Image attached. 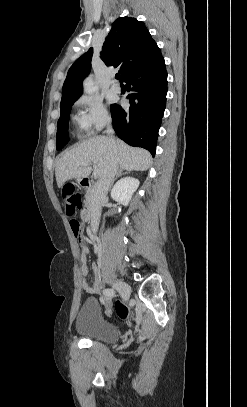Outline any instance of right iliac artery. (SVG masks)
I'll return each mask as SVG.
<instances>
[{"mask_svg":"<svg viewBox=\"0 0 247 407\" xmlns=\"http://www.w3.org/2000/svg\"><path fill=\"white\" fill-rule=\"evenodd\" d=\"M116 291L113 288H107L103 290V294L107 297H112L114 296Z\"/></svg>","mask_w":247,"mask_h":407,"instance_id":"82829eb1","label":"right iliac artery"}]
</instances>
